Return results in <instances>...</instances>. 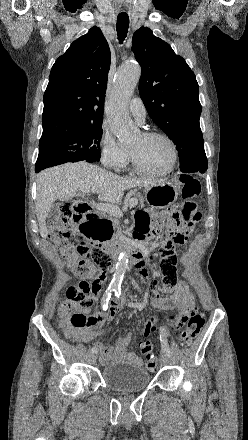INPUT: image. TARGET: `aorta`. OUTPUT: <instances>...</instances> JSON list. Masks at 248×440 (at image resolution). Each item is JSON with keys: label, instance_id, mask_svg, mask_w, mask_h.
<instances>
[{"label": "aorta", "instance_id": "aorta-1", "mask_svg": "<svg viewBox=\"0 0 248 440\" xmlns=\"http://www.w3.org/2000/svg\"><path fill=\"white\" fill-rule=\"evenodd\" d=\"M141 76V68L134 61H127L120 66L111 92L108 123L119 143L129 144L137 136L138 129L132 124L128 114V103ZM128 265V253L122 251L116 264L115 273L110 283L112 288L119 289Z\"/></svg>", "mask_w": 248, "mask_h": 440}]
</instances>
